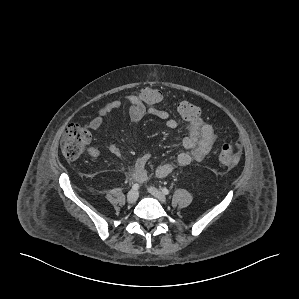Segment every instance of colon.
Here are the masks:
<instances>
[{
  "instance_id": "colon-1",
  "label": "colon",
  "mask_w": 299,
  "mask_h": 299,
  "mask_svg": "<svg viewBox=\"0 0 299 299\" xmlns=\"http://www.w3.org/2000/svg\"><path fill=\"white\" fill-rule=\"evenodd\" d=\"M139 95L146 107L159 108L162 102V94L159 90L145 87L139 91ZM200 117V109L189 101H181L176 107V121L189 123ZM91 141L90 130L80 124H70L62 139L63 155L73 160L78 158L87 149ZM241 159V150L230 143H224L219 153V161L227 167L236 166Z\"/></svg>"
}]
</instances>
